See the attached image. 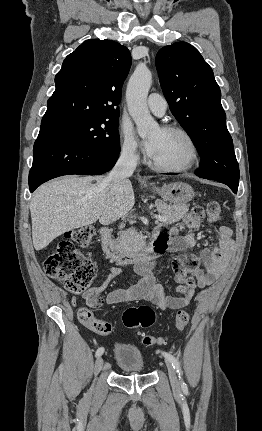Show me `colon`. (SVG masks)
<instances>
[{
    "instance_id": "5ec220e1",
    "label": "colon",
    "mask_w": 262,
    "mask_h": 431,
    "mask_svg": "<svg viewBox=\"0 0 262 431\" xmlns=\"http://www.w3.org/2000/svg\"><path fill=\"white\" fill-rule=\"evenodd\" d=\"M206 216L211 222H218L221 218V206L218 201L211 200L206 205ZM95 229L82 227L67 232L66 237L58 244L56 249L49 253L42 261L46 275L61 282L65 289L71 293H80L86 290L97 275L96 263L76 249V245L87 248L93 243ZM196 287V281L189 278L180 284L177 290L185 295ZM83 326L96 330L101 335H109L112 326L97 319L89 310L81 309L78 314ZM155 322V313L148 305H140L126 309L122 314V323L128 329L149 327ZM189 322V313L179 310L176 314L175 325L178 330L184 329ZM145 346L160 343L159 339L145 336L142 339Z\"/></svg>"
}]
</instances>
